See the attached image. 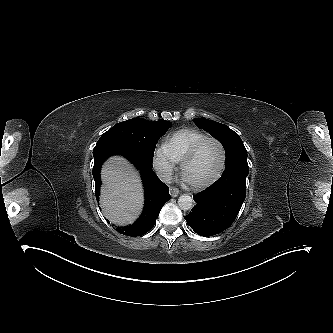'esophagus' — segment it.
Instances as JSON below:
<instances>
[{"label": "esophagus", "mask_w": 333, "mask_h": 333, "mask_svg": "<svg viewBox=\"0 0 333 333\" xmlns=\"http://www.w3.org/2000/svg\"><path fill=\"white\" fill-rule=\"evenodd\" d=\"M180 191L175 187H170V194L172 197H177Z\"/></svg>", "instance_id": "1"}]
</instances>
